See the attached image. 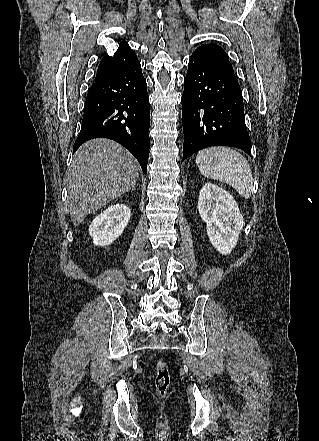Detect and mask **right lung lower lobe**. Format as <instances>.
Instances as JSON below:
<instances>
[{
  "instance_id": "obj_1",
  "label": "right lung lower lobe",
  "mask_w": 319,
  "mask_h": 441,
  "mask_svg": "<svg viewBox=\"0 0 319 441\" xmlns=\"http://www.w3.org/2000/svg\"><path fill=\"white\" fill-rule=\"evenodd\" d=\"M147 84L139 61L95 81L87 95L74 152L93 138H109L127 148L147 173L150 139Z\"/></svg>"
}]
</instances>
